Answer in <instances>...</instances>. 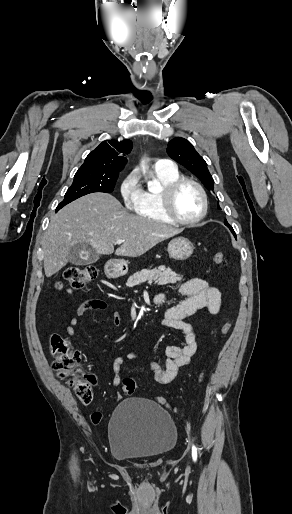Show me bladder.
Segmentation results:
<instances>
[{
  "instance_id": "31cf9c89",
  "label": "bladder",
  "mask_w": 292,
  "mask_h": 514,
  "mask_svg": "<svg viewBox=\"0 0 292 514\" xmlns=\"http://www.w3.org/2000/svg\"><path fill=\"white\" fill-rule=\"evenodd\" d=\"M109 444L119 460H145L170 452L178 433L171 415L144 398H129L114 409L109 422Z\"/></svg>"
}]
</instances>
